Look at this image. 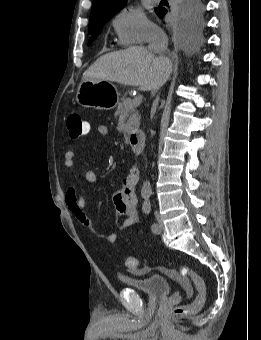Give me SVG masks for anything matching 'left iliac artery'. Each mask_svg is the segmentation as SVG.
Returning a JSON list of instances; mask_svg holds the SVG:
<instances>
[{
  "label": "left iliac artery",
  "mask_w": 261,
  "mask_h": 340,
  "mask_svg": "<svg viewBox=\"0 0 261 340\" xmlns=\"http://www.w3.org/2000/svg\"><path fill=\"white\" fill-rule=\"evenodd\" d=\"M142 209H143V212L145 214H149L150 213V211H151V203H150V201L148 199L144 202ZM157 229H158V224L157 223H152L151 230L153 232H155Z\"/></svg>",
  "instance_id": "44dca946"
}]
</instances>
